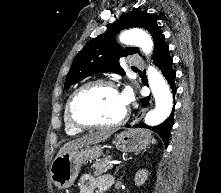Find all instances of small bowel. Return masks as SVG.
<instances>
[{"instance_id": "small-bowel-1", "label": "small bowel", "mask_w": 221, "mask_h": 193, "mask_svg": "<svg viewBox=\"0 0 221 193\" xmlns=\"http://www.w3.org/2000/svg\"><path fill=\"white\" fill-rule=\"evenodd\" d=\"M113 180L109 176L95 177L91 174H83L80 178V193H104L112 185Z\"/></svg>"}]
</instances>
